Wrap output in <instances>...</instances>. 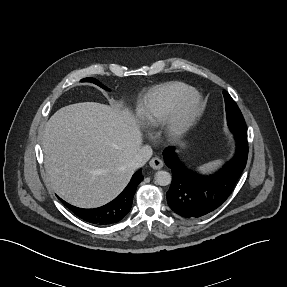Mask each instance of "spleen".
Returning <instances> with one entry per match:
<instances>
[{"label":"spleen","instance_id":"spleen-1","mask_svg":"<svg viewBox=\"0 0 287 287\" xmlns=\"http://www.w3.org/2000/svg\"><path fill=\"white\" fill-rule=\"evenodd\" d=\"M222 163L223 160H215L200 166L198 170L202 173H210L215 171Z\"/></svg>","mask_w":287,"mask_h":287}]
</instances>
